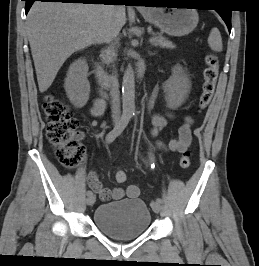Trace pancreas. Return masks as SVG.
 Returning <instances> with one entry per match:
<instances>
[{
	"instance_id": "cf45deb5",
	"label": "pancreas",
	"mask_w": 259,
	"mask_h": 266,
	"mask_svg": "<svg viewBox=\"0 0 259 266\" xmlns=\"http://www.w3.org/2000/svg\"><path fill=\"white\" fill-rule=\"evenodd\" d=\"M154 44L156 46H160L161 48H168V49H173L175 48V45L164 38L162 35L158 34L154 37ZM112 53L109 50L104 51L102 54V59L105 63H109L111 61Z\"/></svg>"
}]
</instances>
